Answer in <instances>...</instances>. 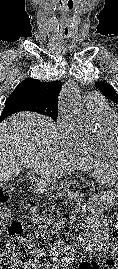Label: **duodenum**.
I'll return each mask as SVG.
<instances>
[{"mask_svg": "<svg viewBox=\"0 0 118 269\" xmlns=\"http://www.w3.org/2000/svg\"><path fill=\"white\" fill-rule=\"evenodd\" d=\"M35 218L38 222L46 226L49 230L53 232H60L62 231V225L58 221L48 217L42 212H37L35 214Z\"/></svg>", "mask_w": 118, "mask_h": 269, "instance_id": "obj_1", "label": "duodenum"}]
</instances>
